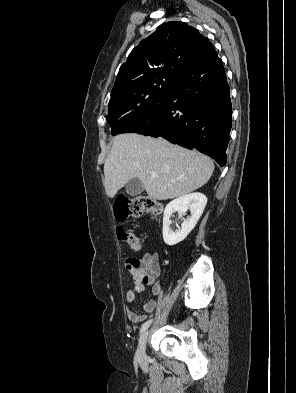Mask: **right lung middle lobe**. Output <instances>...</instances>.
Returning a JSON list of instances; mask_svg holds the SVG:
<instances>
[{
	"instance_id": "1",
	"label": "right lung middle lobe",
	"mask_w": 296,
	"mask_h": 393,
	"mask_svg": "<svg viewBox=\"0 0 296 393\" xmlns=\"http://www.w3.org/2000/svg\"><path fill=\"white\" fill-rule=\"evenodd\" d=\"M176 80H155L133 98L108 105L107 121L112 135L120 134L130 123L150 111L175 86Z\"/></svg>"
}]
</instances>
